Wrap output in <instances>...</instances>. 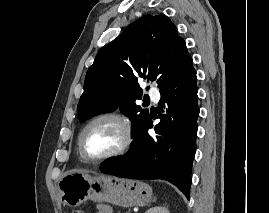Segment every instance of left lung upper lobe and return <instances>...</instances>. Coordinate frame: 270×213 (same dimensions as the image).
<instances>
[{"mask_svg": "<svg viewBox=\"0 0 270 213\" xmlns=\"http://www.w3.org/2000/svg\"><path fill=\"white\" fill-rule=\"evenodd\" d=\"M192 64L171 20L164 14L145 15L99 50L85 77L78 117L83 122L119 107L131 118L136 132L150 117L135 104L143 93L138 78L156 81L162 89Z\"/></svg>", "mask_w": 270, "mask_h": 213, "instance_id": "5c2ea615", "label": "left lung upper lobe"}]
</instances>
